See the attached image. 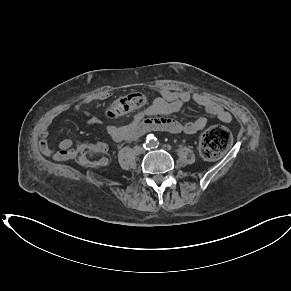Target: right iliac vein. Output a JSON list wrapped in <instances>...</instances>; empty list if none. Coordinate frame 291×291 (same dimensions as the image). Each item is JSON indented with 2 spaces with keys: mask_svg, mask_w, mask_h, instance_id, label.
Wrapping results in <instances>:
<instances>
[{
  "mask_svg": "<svg viewBox=\"0 0 291 291\" xmlns=\"http://www.w3.org/2000/svg\"><path fill=\"white\" fill-rule=\"evenodd\" d=\"M137 152L142 153V149L141 148H138L137 149Z\"/></svg>",
  "mask_w": 291,
  "mask_h": 291,
  "instance_id": "63e3f726",
  "label": "right iliac vein"
}]
</instances>
